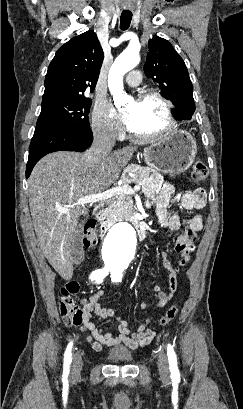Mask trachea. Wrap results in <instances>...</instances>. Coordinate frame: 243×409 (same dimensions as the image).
<instances>
[{"label":"trachea","instance_id":"obj_1","mask_svg":"<svg viewBox=\"0 0 243 409\" xmlns=\"http://www.w3.org/2000/svg\"><path fill=\"white\" fill-rule=\"evenodd\" d=\"M120 20V28L122 30L128 29L132 20V13L130 11H122Z\"/></svg>","mask_w":243,"mask_h":409}]
</instances>
